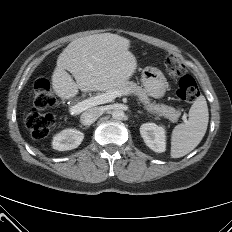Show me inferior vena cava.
<instances>
[{
    "instance_id": "inferior-vena-cava-1",
    "label": "inferior vena cava",
    "mask_w": 232,
    "mask_h": 232,
    "mask_svg": "<svg viewBox=\"0 0 232 232\" xmlns=\"http://www.w3.org/2000/svg\"><path fill=\"white\" fill-rule=\"evenodd\" d=\"M102 115V110L98 107L88 109L82 113L80 121L83 125H91Z\"/></svg>"
}]
</instances>
